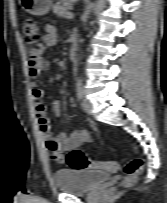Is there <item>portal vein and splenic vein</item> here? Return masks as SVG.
<instances>
[{"instance_id": "obj_1", "label": "portal vein and splenic vein", "mask_w": 167, "mask_h": 203, "mask_svg": "<svg viewBox=\"0 0 167 203\" xmlns=\"http://www.w3.org/2000/svg\"><path fill=\"white\" fill-rule=\"evenodd\" d=\"M67 18H72L73 17V14L72 13H67Z\"/></svg>"}]
</instances>
